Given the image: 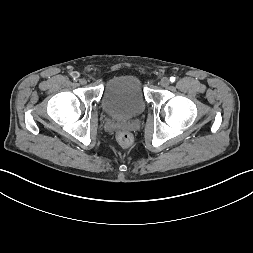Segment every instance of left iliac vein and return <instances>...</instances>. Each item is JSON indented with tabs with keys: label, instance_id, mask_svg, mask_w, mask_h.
I'll return each instance as SVG.
<instances>
[{
	"label": "left iliac vein",
	"instance_id": "obj_1",
	"mask_svg": "<svg viewBox=\"0 0 253 253\" xmlns=\"http://www.w3.org/2000/svg\"><path fill=\"white\" fill-rule=\"evenodd\" d=\"M170 84V80L167 78V77H163L161 80H160V85L162 87H168Z\"/></svg>",
	"mask_w": 253,
	"mask_h": 253
}]
</instances>
